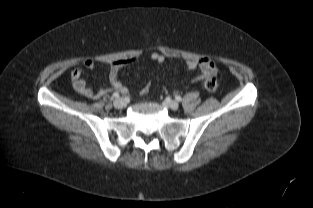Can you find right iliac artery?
I'll list each match as a JSON object with an SVG mask.
<instances>
[{
  "label": "right iliac artery",
  "mask_w": 313,
  "mask_h": 208,
  "mask_svg": "<svg viewBox=\"0 0 313 208\" xmlns=\"http://www.w3.org/2000/svg\"><path fill=\"white\" fill-rule=\"evenodd\" d=\"M114 98H119L120 94L118 92H114L112 95Z\"/></svg>",
  "instance_id": "right-iliac-artery-1"
}]
</instances>
